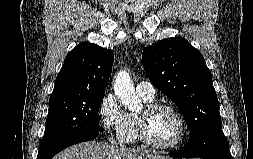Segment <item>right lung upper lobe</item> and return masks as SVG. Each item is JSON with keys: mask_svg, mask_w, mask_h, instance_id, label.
I'll return each mask as SVG.
<instances>
[{"mask_svg": "<svg viewBox=\"0 0 253 159\" xmlns=\"http://www.w3.org/2000/svg\"><path fill=\"white\" fill-rule=\"evenodd\" d=\"M114 55L92 43L78 44L66 57L50 98L81 92L105 93Z\"/></svg>", "mask_w": 253, "mask_h": 159, "instance_id": "1", "label": "right lung upper lobe"}]
</instances>
